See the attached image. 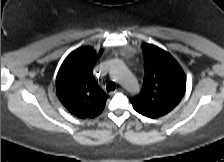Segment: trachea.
Returning <instances> with one entry per match:
<instances>
[{
    "mask_svg": "<svg viewBox=\"0 0 224 162\" xmlns=\"http://www.w3.org/2000/svg\"><path fill=\"white\" fill-rule=\"evenodd\" d=\"M116 88V84L112 81L108 82L107 86H106V89L108 92L110 91H114Z\"/></svg>",
    "mask_w": 224,
    "mask_h": 162,
    "instance_id": "3493384b",
    "label": "trachea"
}]
</instances>
